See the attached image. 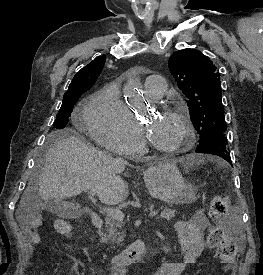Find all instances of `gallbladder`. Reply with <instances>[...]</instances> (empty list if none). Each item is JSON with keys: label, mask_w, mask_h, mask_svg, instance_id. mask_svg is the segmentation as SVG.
<instances>
[{"label": "gallbladder", "mask_w": 263, "mask_h": 275, "mask_svg": "<svg viewBox=\"0 0 263 275\" xmlns=\"http://www.w3.org/2000/svg\"><path fill=\"white\" fill-rule=\"evenodd\" d=\"M45 208L50 213L63 219H70L78 214V210L75 208L74 204L60 198L48 199L45 203Z\"/></svg>", "instance_id": "bac80fb5"}]
</instances>
